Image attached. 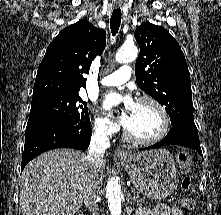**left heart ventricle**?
<instances>
[{"label":"left heart ventricle","instance_id":"obj_1","mask_svg":"<svg viewBox=\"0 0 221 215\" xmlns=\"http://www.w3.org/2000/svg\"><path fill=\"white\" fill-rule=\"evenodd\" d=\"M126 128L140 138H151L161 129L158 110L150 103H136V107Z\"/></svg>","mask_w":221,"mask_h":215}]
</instances>
